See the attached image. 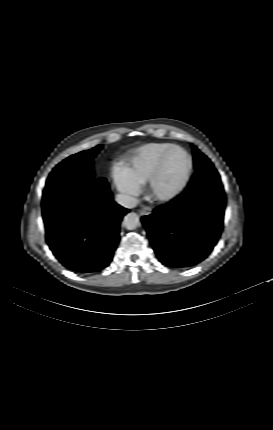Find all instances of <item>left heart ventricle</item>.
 <instances>
[{
	"label": "left heart ventricle",
	"mask_w": 273,
	"mask_h": 430,
	"mask_svg": "<svg viewBox=\"0 0 273 430\" xmlns=\"http://www.w3.org/2000/svg\"><path fill=\"white\" fill-rule=\"evenodd\" d=\"M187 168L185 156L178 150H175L167 157L162 174L158 182V190L167 192L174 188L183 177Z\"/></svg>",
	"instance_id": "b2bd125f"
}]
</instances>
